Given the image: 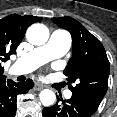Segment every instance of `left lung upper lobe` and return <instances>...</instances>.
Here are the masks:
<instances>
[{"label":"left lung upper lobe","mask_w":117,"mask_h":117,"mask_svg":"<svg viewBox=\"0 0 117 117\" xmlns=\"http://www.w3.org/2000/svg\"><path fill=\"white\" fill-rule=\"evenodd\" d=\"M72 36L73 53L64 70L68 81L77 82L69 88L74 96L97 110L108 88L109 61L101 42L71 17L52 18Z\"/></svg>","instance_id":"1"}]
</instances>
